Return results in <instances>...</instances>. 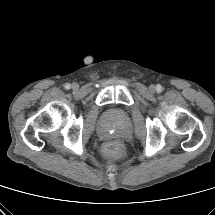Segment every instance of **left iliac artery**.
Returning a JSON list of instances; mask_svg holds the SVG:
<instances>
[{
	"instance_id": "obj_1",
	"label": "left iliac artery",
	"mask_w": 215,
	"mask_h": 215,
	"mask_svg": "<svg viewBox=\"0 0 215 215\" xmlns=\"http://www.w3.org/2000/svg\"><path fill=\"white\" fill-rule=\"evenodd\" d=\"M161 90H162L161 85H157V91H161Z\"/></svg>"
}]
</instances>
